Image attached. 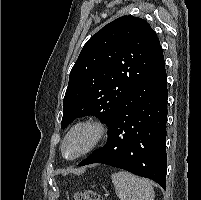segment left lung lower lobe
Wrapping results in <instances>:
<instances>
[{
  "label": "left lung lower lobe",
  "instance_id": "obj_1",
  "mask_svg": "<svg viewBox=\"0 0 201 200\" xmlns=\"http://www.w3.org/2000/svg\"><path fill=\"white\" fill-rule=\"evenodd\" d=\"M167 75L162 56L127 95L108 123L107 144L78 166L107 164L166 189Z\"/></svg>",
  "mask_w": 201,
  "mask_h": 200
}]
</instances>
